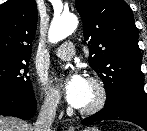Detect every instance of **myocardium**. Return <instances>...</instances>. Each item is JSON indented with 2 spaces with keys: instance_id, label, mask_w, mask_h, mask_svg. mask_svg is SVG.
Segmentation results:
<instances>
[{
  "instance_id": "f54148a6",
  "label": "myocardium",
  "mask_w": 147,
  "mask_h": 131,
  "mask_svg": "<svg viewBox=\"0 0 147 131\" xmlns=\"http://www.w3.org/2000/svg\"><path fill=\"white\" fill-rule=\"evenodd\" d=\"M88 82L95 91V99L89 106L81 107L79 109L80 114L86 116L93 115L101 111L105 107L108 99V91L102 79L97 76H91L88 79Z\"/></svg>"
}]
</instances>
